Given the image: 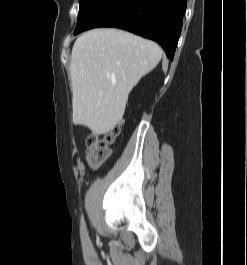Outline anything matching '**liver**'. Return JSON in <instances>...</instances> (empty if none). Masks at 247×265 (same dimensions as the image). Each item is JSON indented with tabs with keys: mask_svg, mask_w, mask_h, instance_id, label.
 <instances>
[{
	"mask_svg": "<svg viewBox=\"0 0 247 265\" xmlns=\"http://www.w3.org/2000/svg\"><path fill=\"white\" fill-rule=\"evenodd\" d=\"M161 57L153 41L117 29H93L78 37L70 65L74 123L94 134L112 130L133 87Z\"/></svg>",
	"mask_w": 247,
	"mask_h": 265,
	"instance_id": "obj_1",
	"label": "liver"
}]
</instances>
